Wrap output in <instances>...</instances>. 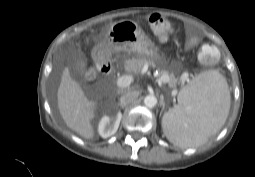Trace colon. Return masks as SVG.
<instances>
[{"label": "colon", "instance_id": "5ec220e1", "mask_svg": "<svg viewBox=\"0 0 255 177\" xmlns=\"http://www.w3.org/2000/svg\"><path fill=\"white\" fill-rule=\"evenodd\" d=\"M148 24L161 40H165L172 31L170 21L163 15L153 13L148 17ZM219 51L211 43L202 45L198 51V58L201 62L206 64H213L218 60Z\"/></svg>", "mask_w": 255, "mask_h": 177}]
</instances>
